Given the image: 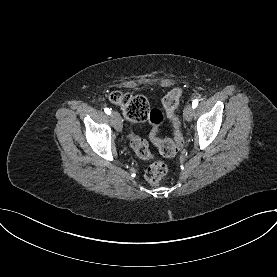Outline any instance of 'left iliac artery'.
<instances>
[{"label":"left iliac artery","mask_w":277,"mask_h":277,"mask_svg":"<svg viewBox=\"0 0 277 277\" xmlns=\"http://www.w3.org/2000/svg\"><path fill=\"white\" fill-rule=\"evenodd\" d=\"M197 105H198V100L197 99L193 100V102H192L193 109L196 108Z\"/></svg>","instance_id":"obj_1"}]
</instances>
